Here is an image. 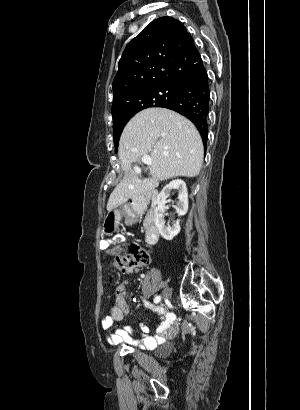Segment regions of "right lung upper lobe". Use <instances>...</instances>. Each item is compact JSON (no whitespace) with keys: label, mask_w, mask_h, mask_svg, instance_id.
<instances>
[{"label":"right lung upper lobe","mask_w":300,"mask_h":410,"mask_svg":"<svg viewBox=\"0 0 300 410\" xmlns=\"http://www.w3.org/2000/svg\"><path fill=\"white\" fill-rule=\"evenodd\" d=\"M202 64L194 40L171 17L151 22L126 46L113 81L112 116L124 113L139 91L180 85Z\"/></svg>","instance_id":"right-lung-upper-lobe-1"}]
</instances>
